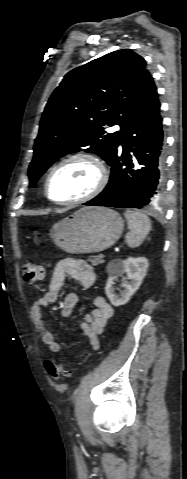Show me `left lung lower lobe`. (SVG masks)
<instances>
[{
	"label": "left lung lower lobe",
	"mask_w": 187,
	"mask_h": 479,
	"mask_svg": "<svg viewBox=\"0 0 187 479\" xmlns=\"http://www.w3.org/2000/svg\"><path fill=\"white\" fill-rule=\"evenodd\" d=\"M120 133L108 185L84 205L142 208L164 192V134L157 88L146 76ZM133 153V156L130 154Z\"/></svg>",
	"instance_id": "left-lung-lower-lobe-1"
}]
</instances>
